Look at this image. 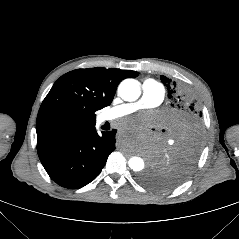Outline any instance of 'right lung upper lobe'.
Returning a JSON list of instances; mask_svg holds the SVG:
<instances>
[{
    "instance_id": "right-lung-upper-lobe-1",
    "label": "right lung upper lobe",
    "mask_w": 239,
    "mask_h": 239,
    "mask_svg": "<svg viewBox=\"0 0 239 239\" xmlns=\"http://www.w3.org/2000/svg\"><path fill=\"white\" fill-rule=\"evenodd\" d=\"M136 71L102 67L77 69L61 76L39 109L37 144L95 125L97 110L109 106L119 83Z\"/></svg>"
}]
</instances>
